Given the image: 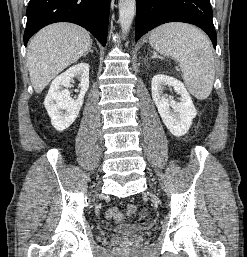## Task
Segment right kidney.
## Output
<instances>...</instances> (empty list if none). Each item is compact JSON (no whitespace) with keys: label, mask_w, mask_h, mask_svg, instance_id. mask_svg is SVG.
Segmentation results:
<instances>
[{"label":"right kidney","mask_w":247,"mask_h":257,"mask_svg":"<svg viewBox=\"0 0 247 257\" xmlns=\"http://www.w3.org/2000/svg\"><path fill=\"white\" fill-rule=\"evenodd\" d=\"M80 79V93L76 100L70 92L62 87H69L73 78ZM89 88V65L79 63L57 76L51 83L44 100L51 123L57 131H63L73 124L84 102V96Z\"/></svg>","instance_id":"obj_1"}]
</instances>
